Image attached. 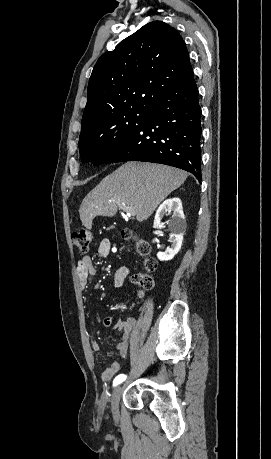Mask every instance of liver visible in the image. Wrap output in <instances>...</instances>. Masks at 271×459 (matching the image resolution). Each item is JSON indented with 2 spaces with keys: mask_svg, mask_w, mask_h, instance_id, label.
I'll list each match as a JSON object with an SVG mask.
<instances>
[{
  "mask_svg": "<svg viewBox=\"0 0 271 459\" xmlns=\"http://www.w3.org/2000/svg\"><path fill=\"white\" fill-rule=\"evenodd\" d=\"M187 176L183 170L162 164L127 162L85 196L79 210L82 226L91 229L95 216H115L118 204L135 208L138 222H143Z\"/></svg>",
  "mask_w": 271,
  "mask_h": 459,
  "instance_id": "obj_1",
  "label": "liver"
}]
</instances>
